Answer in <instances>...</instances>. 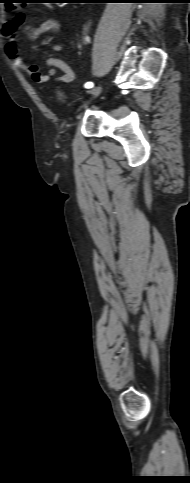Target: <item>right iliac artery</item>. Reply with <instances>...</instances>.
<instances>
[{
	"mask_svg": "<svg viewBox=\"0 0 190 483\" xmlns=\"http://www.w3.org/2000/svg\"><path fill=\"white\" fill-rule=\"evenodd\" d=\"M84 86L85 88H92L94 84L92 82H86Z\"/></svg>",
	"mask_w": 190,
	"mask_h": 483,
	"instance_id": "82829eb1",
	"label": "right iliac artery"
}]
</instances>
